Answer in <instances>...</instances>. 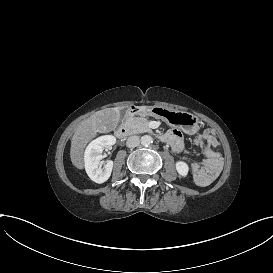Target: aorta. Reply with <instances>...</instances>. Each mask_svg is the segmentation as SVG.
Listing matches in <instances>:
<instances>
[{
    "label": "aorta",
    "instance_id": "obj_1",
    "mask_svg": "<svg viewBox=\"0 0 273 273\" xmlns=\"http://www.w3.org/2000/svg\"><path fill=\"white\" fill-rule=\"evenodd\" d=\"M153 143V138L150 135H144L141 137V144L143 146H149Z\"/></svg>",
    "mask_w": 273,
    "mask_h": 273
}]
</instances>
